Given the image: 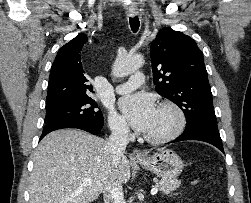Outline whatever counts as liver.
I'll return each mask as SVG.
<instances>
[{"instance_id": "6515ba94", "label": "liver", "mask_w": 251, "mask_h": 203, "mask_svg": "<svg viewBox=\"0 0 251 203\" xmlns=\"http://www.w3.org/2000/svg\"><path fill=\"white\" fill-rule=\"evenodd\" d=\"M112 178L130 179L129 160L114 165L107 141L80 130L51 132L34 154L29 203H90ZM90 179L91 184L84 183Z\"/></svg>"}]
</instances>
